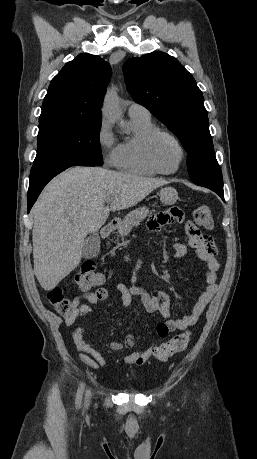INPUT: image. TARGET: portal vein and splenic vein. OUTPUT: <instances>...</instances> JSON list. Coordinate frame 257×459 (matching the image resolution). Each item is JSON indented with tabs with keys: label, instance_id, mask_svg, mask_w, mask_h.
I'll return each mask as SVG.
<instances>
[{
	"label": "portal vein and splenic vein",
	"instance_id": "1",
	"mask_svg": "<svg viewBox=\"0 0 257 459\" xmlns=\"http://www.w3.org/2000/svg\"><path fill=\"white\" fill-rule=\"evenodd\" d=\"M110 202H111V199H108V200L106 201L107 204L110 203Z\"/></svg>",
	"mask_w": 257,
	"mask_h": 459
}]
</instances>
